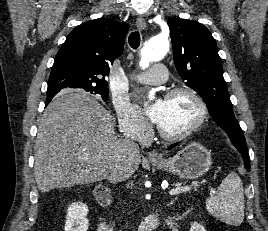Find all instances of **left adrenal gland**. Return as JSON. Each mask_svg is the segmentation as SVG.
Returning <instances> with one entry per match:
<instances>
[{
  "mask_svg": "<svg viewBox=\"0 0 268 231\" xmlns=\"http://www.w3.org/2000/svg\"><path fill=\"white\" fill-rule=\"evenodd\" d=\"M176 199H177V198L171 200L170 203H169L168 205L171 206V205L175 202Z\"/></svg>",
  "mask_w": 268,
  "mask_h": 231,
  "instance_id": "obj_1",
  "label": "left adrenal gland"
}]
</instances>
